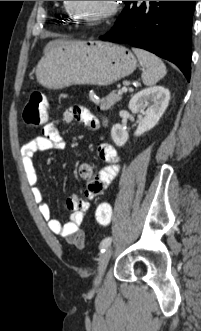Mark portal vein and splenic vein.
Masks as SVG:
<instances>
[{
	"mask_svg": "<svg viewBox=\"0 0 201 331\" xmlns=\"http://www.w3.org/2000/svg\"><path fill=\"white\" fill-rule=\"evenodd\" d=\"M127 92V88L126 87H123L122 89H120L118 91V94H123V93H126Z\"/></svg>",
	"mask_w": 201,
	"mask_h": 331,
	"instance_id": "portal-vein-and-splenic-vein-1",
	"label": "portal vein and splenic vein"
}]
</instances>
